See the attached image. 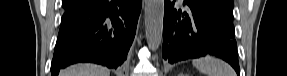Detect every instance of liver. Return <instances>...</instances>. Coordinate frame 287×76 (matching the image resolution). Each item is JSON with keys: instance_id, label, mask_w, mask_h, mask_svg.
I'll list each match as a JSON object with an SVG mask.
<instances>
[{"instance_id": "1", "label": "liver", "mask_w": 287, "mask_h": 76, "mask_svg": "<svg viewBox=\"0 0 287 76\" xmlns=\"http://www.w3.org/2000/svg\"><path fill=\"white\" fill-rule=\"evenodd\" d=\"M60 74V76H110V71L100 65L87 63L70 66Z\"/></svg>"}]
</instances>
